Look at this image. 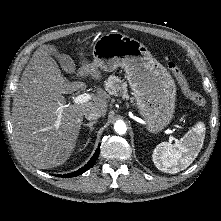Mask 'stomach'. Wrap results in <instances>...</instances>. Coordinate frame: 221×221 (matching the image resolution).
<instances>
[{
	"label": "stomach",
	"instance_id": "1",
	"mask_svg": "<svg viewBox=\"0 0 221 221\" xmlns=\"http://www.w3.org/2000/svg\"><path fill=\"white\" fill-rule=\"evenodd\" d=\"M93 63L106 72L124 69L140 115L151 132L172 120L176 85L169 71L138 40L120 32L102 35L93 45Z\"/></svg>",
	"mask_w": 221,
	"mask_h": 221
}]
</instances>
